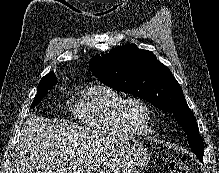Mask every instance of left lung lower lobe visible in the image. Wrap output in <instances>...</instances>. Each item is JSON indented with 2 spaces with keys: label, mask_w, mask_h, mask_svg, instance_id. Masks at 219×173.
<instances>
[{
  "label": "left lung lower lobe",
  "mask_w": 219,
  "mask_h": 173,
  "mask_svg": "<svg viewBox=\"0 0 219 173\" xmlns=\"http://www.w3.org/2000/svg\"><path fill=\"white\" fill-rule=\"evenodd\" d=\"M198 159L202 162V159H203V158H198Z\"/></svg>",
  "instance_id": "0a47b994"
}]
</instances>
